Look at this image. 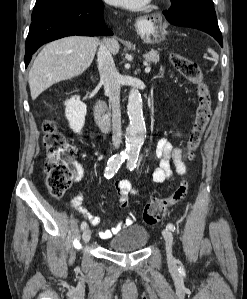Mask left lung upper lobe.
Listing matches in <instances>:
<instances>
[{
    "label": "left lung upper lobe",
    "mask_w": 247,
    "mask_h": 299,
    "mask_svg": "<svg viewBox=\"0 0 247 299\" xmlns=\"http://www.w3.org/2000/svg\"><path fill=\"white\" fill-rule=\"evenodd\" d=\"M188 1H196V2H199V3L204 4L206 6L214 7V4H213L212 0H171L170 9H175L180 4H182L184 2H188Z\"/></svg>",
    "instance_id": "1"
}]
</instances>
